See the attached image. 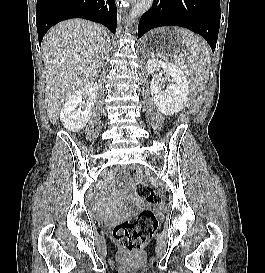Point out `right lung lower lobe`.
<instances>
[{
    "label": "right lung lower lobe",
    "instance_id": "1",
    "mask_svg": "<svg viewBox=\"0 0 265 273\" xmlns=\"http://www.w3.org/2000/svg\"><path fill=\"white\" fill-rule=\"evenodd\" d=\"M70 18L95 21L115 33V0H37L36 23L39 43L52 26Z\"/></svg>",
    "mask_w": 265,
    "mask_h": 273
}]
</instances>
